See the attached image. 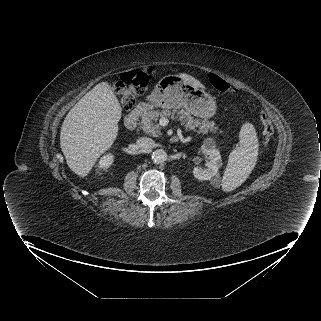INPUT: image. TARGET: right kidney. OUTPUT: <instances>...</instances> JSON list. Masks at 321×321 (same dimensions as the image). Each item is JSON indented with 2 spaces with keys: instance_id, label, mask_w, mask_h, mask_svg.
<instances>
[{
  "instance_id": "1",
  "label": "right kidney",
  "mask_w": 321,
  "mask_h": 321,
  "mask_svg": "<svg viewBox=\"0 0 321 321\" xmlns=\"http://www.w3.org/2000/svg\"><path fill=\"white\" fill-rule=\"evenodd\" d=\"M113 161H114V156L112 154H107L100 159L99 168L107 169L113 164Z\"/></svg>"
}]
</instances>
